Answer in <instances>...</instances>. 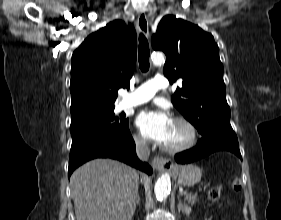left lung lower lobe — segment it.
I'll list each match as a JSON object with an SVG mask.
<instances>
[{"mask_svg":"<svg viewBox=\"0 0 281 220\" xmlns=\"http://www.w3.org/2000/svg\"><path fill=\"white\" fill-rule=\"evenodd\" d=\"M217 151H230L242 159L235 132L220 130L203 133L202 138L194 148L176 154L175 160L177 163L186 164Z\"/></svg>","mask_w":281,"mask_h":220,"instance_id":"obj_1","label":"left lung lower lobe"}]
</instances>
